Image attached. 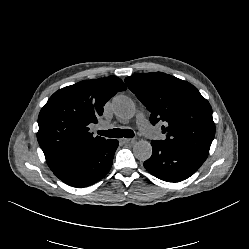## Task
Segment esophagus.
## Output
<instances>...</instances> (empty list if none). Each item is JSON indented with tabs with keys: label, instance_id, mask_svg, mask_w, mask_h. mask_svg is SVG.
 <instances>
[{
	"label": "esophagus",
	"instance_id": "esophagus-1",
	"mask_svg": "<svg viewBox=\"0 0 249 249\" xmlns=\"http://www.w3.org/2000/svg\"><path fill=\"white\" fill-rule=\"evenodd\" d=\"M121 142L124 143V144H129V143H133L134 140H133V139H126V138H123V139H121Z\"/></svg>",
	"mask_w": 249,
	"mask_h": 249
}]
</instances>
